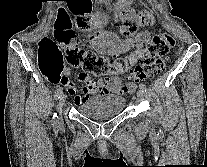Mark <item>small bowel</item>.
Here are the masks:
<instances>
[{"label":"small bowel","instance_id":"small-bowel-1","mask_svg":"<svg viewBox=\"0 0 207 167\" xmlns=\"http://www.w3.org/2000/svg\"><path fill=\"white\" fill-rule=\"evenodd\" d=\"M119 5H127L128 1H118ZM68 9H71L73 17H77V24L83 29L93 28L94 31L89 36L82 39V42L88 45L97 54L103 56H111L114 60L120 58L122 54L133 48H144L151 39L148 31L137 33L140 25L154 23V17L151 13L143 11L138 15L127 12L125 21L121 27V35L102 29L103 24H107L108 20L94 21L87 17L91 13V1H69ZM104 17L108 13H103ZM111 24H115L116 20H110ZM123 73L118 64H111L110 76L99 81H94L86 73H80L78 79L84 84L82 90L78 92L76 84L70 80L71 69L68 66L63 67L62 77L59 80L70 95L75 96L76 104H83L91 96L105 95H123L131 93L136 89V83L122 82L120 74Z\"/></svg>","mask_w":207,"mask_h":167}]
</instances>
